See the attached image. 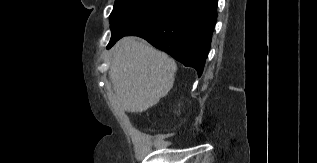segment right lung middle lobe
I'll return each instance as SVG.
<instances>
[{
  "label": "right lung middle lobe",
  "mask_w": 317,
  "mask_h": 163,
  "mask_svg": "<svg viewBox=\"0 0 317 163\" xmlns=\"http://www.w3.org/2000/svg\"><path fill=\"white\" fill-rule=\"evenodd\" d=\"M173 1L116 0L110 15L112 31L110 42L153 20L166 10Z\"/></svg>",
  "instance_id": "obj_1"
}]
</instances>
